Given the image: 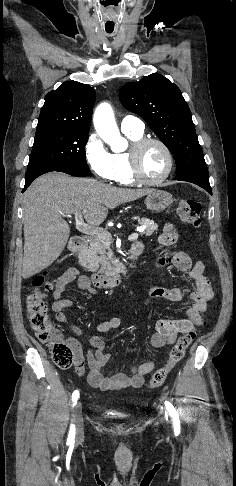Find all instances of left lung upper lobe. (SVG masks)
I'll list each match as a JSON object with an SVG mask.
<instances>
[{"mask_svg":"<svg viewBox=\"0 0 236 486\" xmlns=\"http://www.w3.org/2000/svg\"><path fill=\"white\" fill-rule=\"evenodd\" d=\"M122 105L141 116L176 161V179L195 183L210 192L208 169L188 104L179 88L160 74L125 84Z\"/></svg>","mask_w":236,"mask_h":486,"instance_id":"1","label":"left lung upper lobe"}]
</instances>
